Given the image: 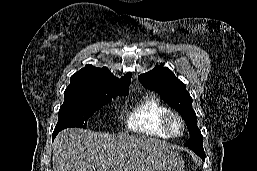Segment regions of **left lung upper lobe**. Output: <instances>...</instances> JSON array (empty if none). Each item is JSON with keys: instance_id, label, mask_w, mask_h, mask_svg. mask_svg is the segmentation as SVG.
Segmentation results:
<instances>
[{"instance_id": "obj_1", "label": "left lung upper lobe", "mask_w": 257, "mask_h": 171, "mask_svg": "<svg viewBox=\"0 0 257 171\" xmlns=\"http://www.w3.org/2000/svg\"><path fill=\"white\" fill-rule=\"evenodd\" d=\"M144 87L156 91L172 108L177 110L186 122L190 139L186 142L193 151L203 150V137L197 127V117L192 108V98L174 73L168 68L157 66L139 76Z\"/></svg>"}]
</instances>
